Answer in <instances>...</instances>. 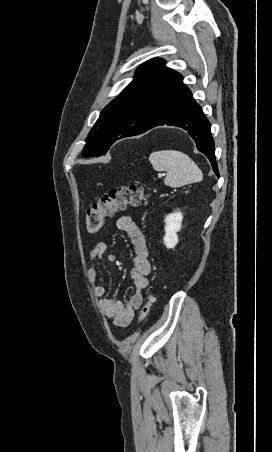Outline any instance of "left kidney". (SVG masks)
<instances>
[{"mask_svg": "<svg viewBox=\"0 0 272 452\" xmlns=\"http://www.w3.org/2000/svg\"><path fill=\"white\" fill-rule=\"evenodd\" d=\"M183 214L180 211L170 213L165 217V235L163 238L164 245L167 248H174L178 243L177 232L181 229Z\"/></svg>", "mask_w": 272, "mask_h": 452, "instance_id": "obj_1", "label": "left kidney"}]
</instances>
